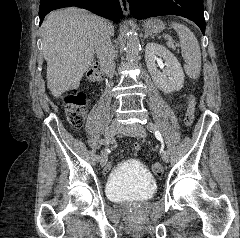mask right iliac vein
Listing matches in <instances>:
<instances>
[{"mask_svg": "<svg viewBox=\"0 0 240 238\" xmlns=\"http://www.w3.org/2000/svg\"><path fill=\"white\" fill-rule=\"evenodd\" d=\"M121 130H122V126L119 123L115 121L112 122L105 131V140H104L105 145H108L114 139V136L120 133ZM107 159H108L107 152L104 150L100 158L101 166H104L106 164Z\"/></svg>", "mask_w": 240, "mask_h": 238, "instance_id": "63e3f726", "label": "right iliac vein"}]
</instances>
